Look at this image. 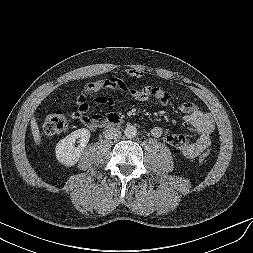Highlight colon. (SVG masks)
<instances>
[{"label": "colon", "instance_id": "colon-1", "mask_svg": "<svg viewBox=\"0 0 253 253\" xmlns=\"http://www.w3.org/2000/svg\"><path fill=\"white\" fill-rule=\"evenodd\" d=\"M69 121L63 113L48 114L42 123V132L47 137L57 136L68 129ZM211 156V151L206 150L199 156L200 162H205Z\"/></svg>", "mask_w": 253, "mask_h": 253}]
</instances>
